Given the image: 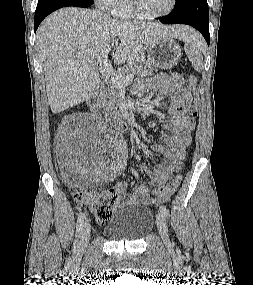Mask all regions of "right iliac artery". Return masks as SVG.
I'll return each instance as SVG.
<instances>
[{
  "label": "right iliac artery",
  "mask_w": 253,
  "mask_h": 285,
  "mask_svg": "<svg viewBox=\"0 0 253 285\" xmlns=\"http://www.w3.org/2000/svg\"><path fill=\"white\" fill-rule=\"evenodd\" d=\"M84 219H85V213H81L79 215L78 221H77V225H76V239L74 241V247L76 248L77 246V241H78V237H79V233L82 229L83 223H84Z\"/></svg>",
  "instance_id": "obj_1"
}]
</instances>
